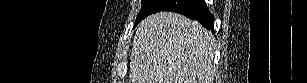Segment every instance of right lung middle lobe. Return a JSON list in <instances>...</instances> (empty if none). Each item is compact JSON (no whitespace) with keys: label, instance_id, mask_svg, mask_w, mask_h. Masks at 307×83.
<instances>
[{"label":"right lung middle lobe","instance_id":"obj_1","mask_svg":"<svg viewBox=\"0 0 307 83\" xmlns=\"http://www.w3.org/2000/svg\"><path fill=\"white\" fill-rule=\"evenodd\" d=\"M154 1H155V0H143V1H142V7H141V10H140V12H139V14H138V16H137V19H136V22H135V26H136L142 19H144V18L148 15V13H149V11H150V9H151V6L153 5Z\"/></svg>","mask_w":307,"mask_h":83}]
</instances>
